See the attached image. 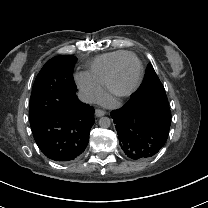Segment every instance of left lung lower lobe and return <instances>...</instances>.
<instances>
[{
	"instance_id": "obj_1",
	"label": "left lung lower lobe",
	"mask_w": 208,
	"mask_h": 208,
	"mask_svg": "<svg viewBox=\"0 0 208 208\" xmlns=\"http://www.w3.org/2000/svg\"><path fill=\"white\" fill-rule=\"evenodd\" d=\"M111 117L121 149L130 159L153 157L168 138L171 111L162 104L130 98L123 107L113 110Z\"/></svg>"
}]
</instances>
